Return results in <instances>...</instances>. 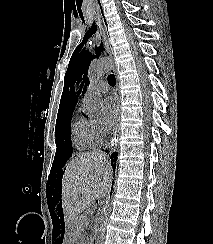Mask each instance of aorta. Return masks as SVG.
Masks as SVG:
<instances>
[{
  "label": "aorta",
  "mask_w": 213,
  "mask_h": 244,
  "mask_svg": "<svg viewBox=\"0 0 213 244\" xmlns=\"http://www.w3.org/2000/svg\"><path fill=\"white\" fill-rule=\"evenodd\" d=\"M113 68V62L108 58H98L91 62L88 69L90 85L83 98L85 112L90 117H98L104 109V102L100 92L93 86L94 81L102 78Z\"/></svg>",
  "instance_id": "obj_1"
}]
</instances>
